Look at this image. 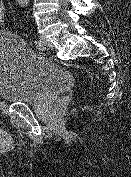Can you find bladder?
Wrapping results in <instances>:
<instances>
[{
	"label": "bladder",
	"mask_w": 131,
	"mask_h": 177,
	"mask_svg": "<svg viewBox=\"0 0 131 177\" xmlns=\"http://www.w3.org/2000/svg\"><path fill=\"white\" fill-rule=\"evenodd\" d=\"M74 83L67 69L36 54L17 37L0 34V98L44 105Z\"/></svg>",
	"instance_id": "31cf9c89"
}]
</instances>
